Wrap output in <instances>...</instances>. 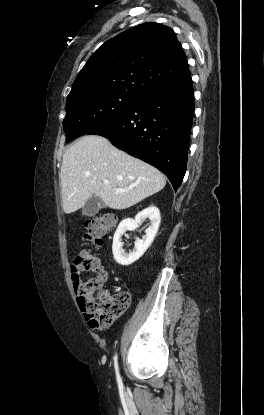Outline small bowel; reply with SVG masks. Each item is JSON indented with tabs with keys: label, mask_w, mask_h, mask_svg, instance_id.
<instances>
[{
	"label": "small bowel",
	"mask_w": 264,
	"mask_h": 415,
	"mask_svg": "<svg viewBox=\"0 0 264 415\" xmlns=\"http://www.w3.org/2000/svg\"><path fill=\"white\" fill-rule=\"evenodd\" d=\"M98 268L103 269V266L100 263H98ZM80 274H81V271H78V272H72L71 271V280H72L74 289H76L77 291H78V289L80 287V284H81Z\"/></svg>",
	"instance_id": "c3829d8e"
}]
</instances>
